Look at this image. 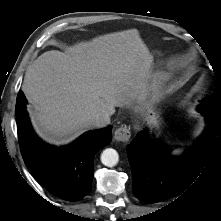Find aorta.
<instances>
[{
	"mask_svg": "<svg viewBox=\"0 0 221 221\" xmlns=\"http://www.w3.org/2000/svg\"><path fill=\"white\" fill-rule=\"evenodd\" d=\"M119 161V155L115 149L107 148L101 154V162L107 167L115 166Z\"/></svg>",
	"mask_w": 221,
	"mask_h": 221,
	"instance_id": "aorta-1",
	"label": "aorta"
}]
</instances>
